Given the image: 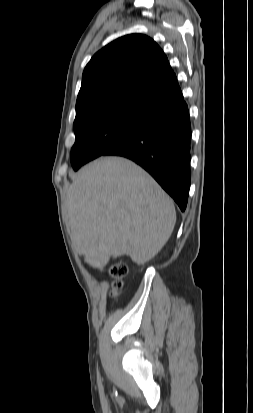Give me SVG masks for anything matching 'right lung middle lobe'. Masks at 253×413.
I'll return each instance as SVG.
<instances>
[{
    "mask_svg": "<svg viewBox=\"0 0 253 413\" xmlns=\"http://www.w3.org/2000/svg\"><path fill=\"white\" fill-rule=\"evenodd\" d=\"M151 116V113L135 108L112 107L76 118L75 144L71 150L73 169L78 170L141 130Z\"/></svg>",
    "mask_w": 253,
    "mask_h": 413,
    "instance_id": "1",
    "label": "right lung middle lobe"
}]
</instances>
